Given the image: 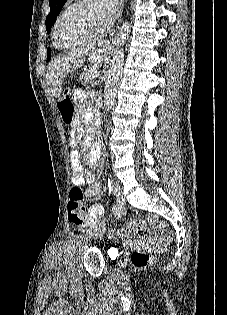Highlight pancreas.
<instances>
[{
    "label": "pancreas",
    "instance_id": "1",
    "mask_svg": "<svg viewBox=\"0 0 227 315\" xmlns=\"http://www.w3.org/2000/svg\"><path fill=\"white\" fill-rule=\"evenodd\" d=\"M94 71L92 70H89L88 72H83L81 75H80V80L82 82L83 85H89L88 87H92L94 84H95V81H94Z\"/></svg>",
    "mask_w": 227,
    "mask_h": 315
}]
</instances>
